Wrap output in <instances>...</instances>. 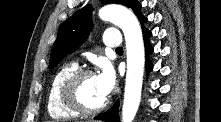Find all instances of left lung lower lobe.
<instances>
[{
  "mask_svg": "<svg viewBox=\"0 0 221 122\" xmlns=\"http://www.w3.org/2000/svg\"><path fill=\"white\" fill-rule=\"evenodd\" d=\"M140 9H141V4L139 2H136L132 10L137 15L142 25L143 39L146 50V71L147 73H149L152 70V63L149 61L148 58L149 55L153 52V47L149 43L148 39L151 37L152 33L143 26V24L147 22V18L141 14ZM118 110H119V100L116 101V103L108 111L96 116L95 119L106 120L107 122H119Z\"/></svg>",
  "mask_w": 221,
  "mask_h": 122,
  "instance_id": "obj_1",
  "label": "left lung lower lobe"
}]
</instances>
